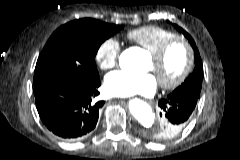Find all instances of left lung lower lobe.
I'll return each instance as SVG.
<instances>
[{"label": "left lung lower lobe", "mask_w": 240, "mask_h": 160, "mask_svg": "<svg viewBox=\"0 0 240 160\" xmlns=\"http://www.w3.org/2000/svg\"><path fill=\"white\" fill-rule=\"evenodd\" d=\"M198 99L191 96L170 94L167 98L159 101L162 109L160 116L164 118V130L159 134L153 132L147 135L156 140L169 139L176 136L185 126L192 112L194 111Z\"/></svg>", "instance_id": "0a47b994"}]
</instances>
